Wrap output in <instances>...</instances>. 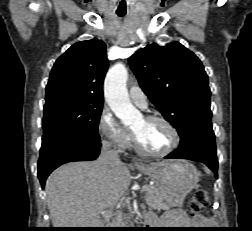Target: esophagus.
<instances>
[{
	"mask_svg": "<svg viewBox=\"0 0 252 231\" xmlns=\"http://www.w3.org/2000/svg\"><path fill=\"white\" fill-rule=\"evenodd\" d=\"M135 165H141V163H139V162L136 161V162H135Z\"/></svg>",
	"mask_w": 252,
	"mask_h": 231,
	"instance_id": "34e87169",
	"label": "esophagus"
}]
</instances>
